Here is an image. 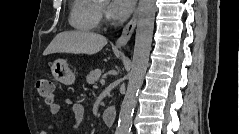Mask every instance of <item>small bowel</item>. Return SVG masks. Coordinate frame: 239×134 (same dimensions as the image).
Listing matches in <instances>:
<instances>
[{"label":"small bowel","mask_w":239,"mask_h":134,"mask_svg":"<svg viewBox=\"0 0 239 134\" xmlns=\"http://www.w3.org/2000/svg\"><path fill=\"white\" fill-rule=\"evenodd\" d=\"M68 102L71 105V109H72L76 126H77L80 124V122L82 121L84 117V113H85L84 106L78 102H73V101H68ZM60 110H61V106L57 103L52 104L49 109L51 115H57L60 112ZM53 132H54V125H51L49 129V133H53Z\"/></svg>","instance_id":"small-bowel-1"}]
</instances>
